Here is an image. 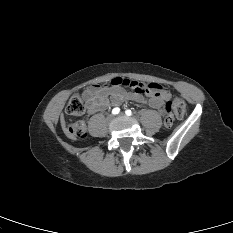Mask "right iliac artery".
Wrapping results in <instances>:
<instances>
[{
    "instance_id": "1",
    "label": "right iliac artery",
    "mask_w": 233,
    "mask_h": 233,
    "mask_svg": "<svg viewBox=\"0 0 233 233\" xmlns=\"http://www.w3.org/2000/svg\"><path fill=\"white\" fill-rule=\"evenodd\" d=\"M120 112V109L118 108V107H116V108H114L113 110H112V114L113 115H116V114H118Z\"/></svg>"
}]
</instances>
